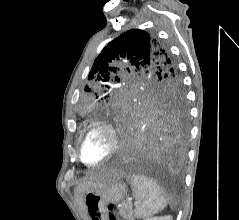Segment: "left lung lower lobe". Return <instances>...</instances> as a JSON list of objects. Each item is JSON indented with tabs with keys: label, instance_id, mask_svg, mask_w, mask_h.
<instances>
[{
	"label": "left lung lower lobe",
	"instance_id": "obj_1",
	"mask_svg": "<svg viewBox=\"0 0 239 220\" xmlns=\"http://www.w3.org/2000/svg\"><path fill=\"white\" fill-rule=\"evenodd\" d=\"M113 123L122 137L120 162L177 165L185 157L187 112L153 110L110 113L100 118Z\"/></svg>",
	"mask_w": 239,
	"mask_h": 220
}]
</instances>
